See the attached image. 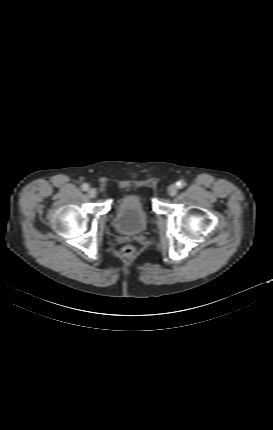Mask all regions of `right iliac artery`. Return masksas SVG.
<instances>
[{"label": "right iliac artery", "mask_w": 273, "mask_h": 430, "mask_svg": "<svg viewBox=\"0 0 273 430\" xmlns=\"http://www.w3.org/2000/svg\"><path fill=\"white\" fill-rule=\"evenodd\" d=\"M89 189V185L87 184V183H84L83 185H82V190L83 191H87Z\"/></svg>", "instance_id": "obj_1"}]
</instances>
